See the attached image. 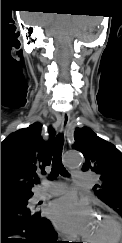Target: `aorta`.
Instances as JSON below:
<instances>
[{
  "label": "aorta",
  "instance_id": "obj_1",
  "mask_svg": "<svg viewBox=\"0 0 122 243\" xmlns=\"http://www.w3.org/2000/svg\"><path fill=\"white\" fill-rule=\"evenodd\" d=\"M65 163L68 167H78L82 163V155L77 151H70L65 156Z\"/></svg>",
  "mask_w": 122,
  "mask_h": 243
}]
</instances>
